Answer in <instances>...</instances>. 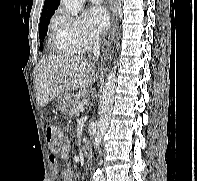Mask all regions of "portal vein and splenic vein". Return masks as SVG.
<instances>
[{"instance_id": "18ae733b", "label": "portal vein and splenic vein", "mask_w": 197, "mask_h": 181, "mask_svg": "<svg viewBox=\"0 0 197 181\" xmlns=\"http://www.w3.org/2000/svg\"><path fill=\"white\" fill-rule=\"evenodd\" d=\"M83 111H84V107H83V106H80V107L78 108V114L82 113Z\"/></svg>"}]
</instances>
